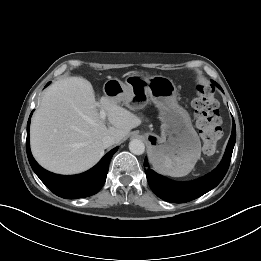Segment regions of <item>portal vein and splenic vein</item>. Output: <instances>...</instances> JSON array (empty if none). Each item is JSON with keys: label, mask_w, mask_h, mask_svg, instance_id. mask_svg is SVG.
<instances>
[{"label": "portal vein and splenic vein", "mask_w": 261, "mask_h": 261, "mask_svg": "<svg viewBox=\"0 0 261 261\" xmlns=\"http://www.w3.org/2000/svg\"><path fill=\"white\" fill-rule=\"evenodd\" d=\"M97 107L100 108V118L102 120H105L107 113L105 112V110L101 107V105L99 103H97Z\"/></svg>", "instance_id": "1"}]
</instances>
